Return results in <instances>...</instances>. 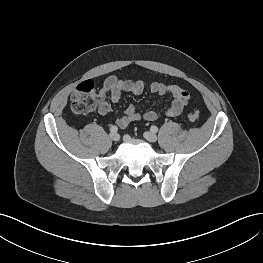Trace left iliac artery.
Returning <instances> with one entry per match:
<instances>
[{
  "instance_id": "left-iliac-artery-1",
  "label": "left iliac artery",
  "mask_w": 263,
  "mask_h": 263,
  "mask_svg": "<svg viewBox=\"0 0 263 263\" xmlns=\"http://www.w3.org/2000/svg\"><path fill=\"white\" fill-rule=\"evenodd\" d=\"M150 130H151L153 133H156V132H158V127L155 126V125H152L151 128H150Z\"/></svg>"
}]
</instances>
